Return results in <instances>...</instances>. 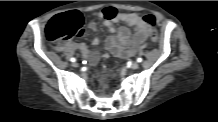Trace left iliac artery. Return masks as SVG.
<instances>
[{
  "label": "left iliac artery",
  "mask_w": 218,
  "mask_h": 122,
  "mask_svg": "<svg viewBox=\"0 0 218 122\" xmlns=\"http://www.w3.org/2000/svg\"><path fill=\"white\" fill-rule=\"evenodd\" d=\"M142 60H143V59H142V58H140V57H139V58H137V62H142Z\"/></svg>",
  "instance_id": "obj_1"
}]
</instances>
